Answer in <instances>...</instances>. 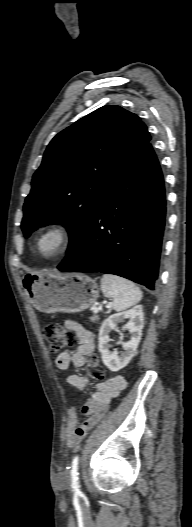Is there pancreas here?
Segmentation results:
<instances>
[{"label": "pancreas", "mask_w": 192, "mask_h": 527, "mask_svg": "<svg viewBox=\"0 0 192 527\" xmlns=\"http://www.w3.org/2000/svg\"><path fill=\"white\" fill-rule=\"evenodd\" d=\"M91 320L94 321L95 319L92 317Z\"/></svg>", "instance_id": "pancreas-1"}]
</instances>
